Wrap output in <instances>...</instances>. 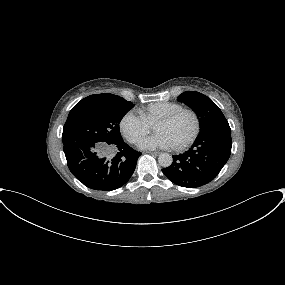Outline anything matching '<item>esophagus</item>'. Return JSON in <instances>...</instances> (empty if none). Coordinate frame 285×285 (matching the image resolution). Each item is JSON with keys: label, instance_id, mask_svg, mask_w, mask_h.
<instances>
[{"label": "esophagus", "instance_id": "34e87169", "mask_svg": "<svg viewBox=\"0 0 285 285\" xmlns=\"http://www.w3.org/2000/svg\"><path fill=\"white\" fill-rule=\"evenodd\" d=\"M148 154L158 156L160 153L155 151H147Z\"/></svg>", "mask_w": 285, "mask_h": 285}]
</instances>
